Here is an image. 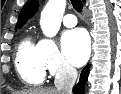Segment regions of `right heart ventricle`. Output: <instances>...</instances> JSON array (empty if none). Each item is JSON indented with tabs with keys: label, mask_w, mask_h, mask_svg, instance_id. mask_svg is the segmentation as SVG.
Instances as JSON below:
<instances>
[{
	"label": "right heart ventricle",
	"mask_w": 121,
	"mask_h": 94,
	"mask_svg": "<svg viewBox=\"0 0 121 94\" xmlns=\"http://www.w3.org/2000/svg\"><path fill=\"white\" fill-rule=\"evenodd\" d=\"M16 69L20 79L29 86L44 82L45 68L41 62L39 44L25 36L19 43L16 54Z\"/></svg>",
	"instance_id": "obj_1"
}]
</instances>
